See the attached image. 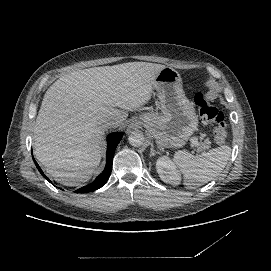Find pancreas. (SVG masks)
Here are the masks:
<instances>
[{
  "label": "pancreas",
  "instance_id": "1",
  "mask_svg": "<svg viewBox=\"0 0 271 271\" xmlns=\"http://www.w3.org/2000/svg\"><path fill=\"white\" fill-rule=\"evenodd\" d=\"M211 142L209 141V139H205L203 143H201L198 147V151H202L205 149H209Z\"/></svg>",
  "mask_w": 271,
  "mask_h": 271
}]
</instances>
